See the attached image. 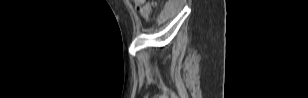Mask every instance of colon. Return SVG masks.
I'll use <instances>...</instances> for the list:
<instances>
[{"instance_id":"5ec220e1","label":"colon","mask_w":308,"mask_h":98,"mask_svg":"<svg viewBox=\"0 0 308 98\" xmlns=\"http://www.w3.org/2000/svg\"><path fill=\"white\" fill-rule=\"evenodd\" d=\"M136 6L139 9L140 14L145 19H150L153 15V3L146 0H134Z\"/></svg>"}]
</instances>
